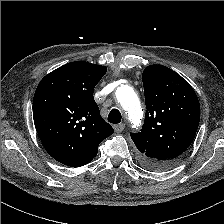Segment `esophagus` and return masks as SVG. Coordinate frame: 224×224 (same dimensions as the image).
I'll return each mask as SVG.
<instances>
[{
  "mask_svg": "<svg viewBox=\"0 0 224 224\" xmlns=\"http://www.w3.org/2000/svg\"><path fill=\"white\" fill-rule=\"evenodd\" d=\"M125 128V124L120 123L114 126V129L117 133H121Z\"/></svg>",
  "mask_w": 224,
  "mask_h": 224,
  "instance_id": "obj_1",
  "label": "esophagus"
}]
</instances>
